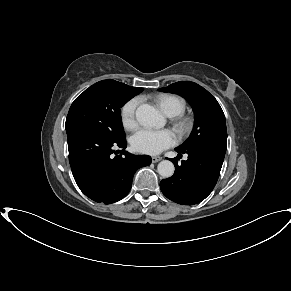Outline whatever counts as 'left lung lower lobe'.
Listing matches in <instances>:
<instances>
[{
	"label": "left lung lower lobe",
	"mask_w": 291,
	"mask_h": 291,
	"mask_svg": "<svg viewBox=\"0 0 291 291\" xmlns=\"http://www.w3.org/2000/svg\"><path fill=\"white\" fill-rule=\"evenodd\" d=\"M188 154V159L178 165L176 158L174 175L160 182L163 194L182 205H194L203 201L215 187L225 157L222 147L196 146L186 150L175 149ZM181 155V154H179Z\"/></svg>",
	"instance_id": "0a47b994"
}]
</instances>
